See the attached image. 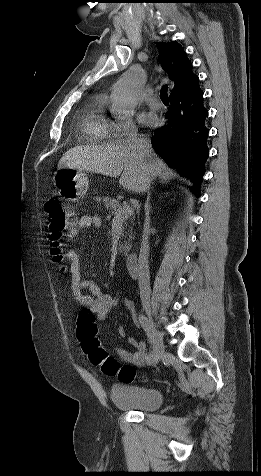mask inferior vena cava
<instances>
[{
    "label": "inferior vena cava",
    "mask_w": 261,
    "mask_h": 476,
    "mask_svg": "<svg viewBox=\"0 0 261 476\" xmlns=\"http://www.w3.org/2000/svg\"><path fill=\"white\" fill-rule=\"evenodd\" d=\"M126 144L133 149L134 155L139 158L144 164V192L148 191L152 181V168L149 163V158L151 157V143L150 140L144 138H138L137 133H130ZM149 205L146 203L145 212L146 219L144 223V231L142 236V243L138 258V285L140 290V299L143 307H149L150 302V275H149V265H148V255H149V233H150V218H149Z\"/></svg>",
    "instance_id": "602c4592"
}]
</instances>
